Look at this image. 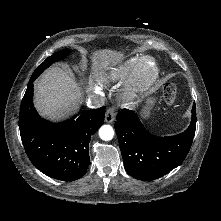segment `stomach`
I'll return each instance as SVG.
<instances>
[{
    "mask_svg": "<svg viewBox=\"0 0 221 221\" xmlns=\"http://www.w3.org/2000/svg\"><path fill=\"white\" fill-rule=\"evenodd\" d=\"M155 102H156V99H155L154 97L149 96V97L147 98V100H146V106H145V108H144V110H143V115H144V117H148V116H149L150 110H151V108L153 107V105L155 104Z\"/></svg>",
    "mask_w": 221,
    "mask_h": 221,
    "instance_id": "obj_1",
    "label": "stomach"
}]
</instances>
